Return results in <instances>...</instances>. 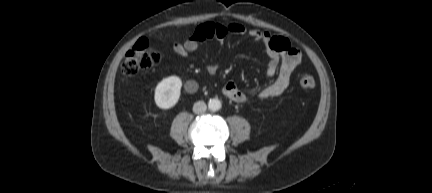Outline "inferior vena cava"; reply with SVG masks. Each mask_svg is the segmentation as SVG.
Instances as JSON below:
<instances>
[{"mask_svg":"<svg viewBox=\"0 0 432 193\" xmlns=\"http://www.w3.org/2000/svg\"><path fill=\"white\" fill-rule=\"evenodd\" d=\"M207 106L206 103L204 101H198L196 103H194L193 105V112L195 114H202L206 111Z\"/></svg>","mask_w":432,"mask_h":193,"instance_id":"inferior-vena-cava-1","label":"inferior vena cava"}]
</instances>
